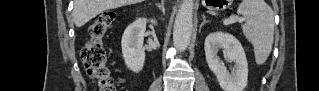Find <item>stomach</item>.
I'll return each instance as SVG.
<instances>
[{
	"mask_svg": "<svg viewBox=\"0 0 319 91\" xmlns=\"http://www.w3.org/2000/svg\"><path fill=\"white\" fill-rule=\"evenodd\" d=\"M204 4L208 5L209 8H214L216 10H224L230 3L228 0H213L204 1Z\"/></svg>",
	"mask_w": 319,
	"mask_h": 91,
	"instance_id": "obj_1",
	"label": "stomach"
}]
</instances>
